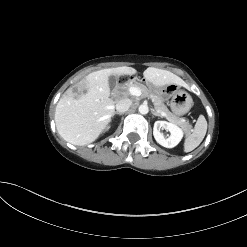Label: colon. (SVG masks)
I'll list each match as a JSON object with an SVG mask.
<instances>
[{
	"label": "colon",
	"instance_id": "5ec220e1",
	"mask_svg": "<svg viewBox=\"0 0 247 247\" xmlns=\"http://www.w3.org/2000/svg\"><path fill=\"white\" fill-rule=\"evenodd\" d=\"M124 80H125V77H122V78H121V81H124Z\"/></svg>",
	"mask_w": 247,
	"mask_h": 247
}]
</instances>
